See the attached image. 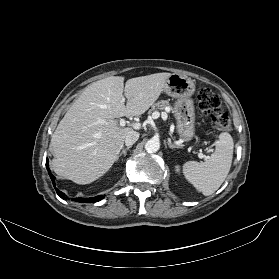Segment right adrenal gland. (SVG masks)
I'll return each instance as SVG.
<instances>
[{
  "label": "right adrenal gland",
  "mask_w": 279,
  "mask_h": 279,
  "mask_svg": "<svg viewBox=\"0 0 279 279\" xmlns=\"http://www.w3.org/2000/svg\"><path fill=\"white\" fill-rule=\"evenodd\" d=\"M130 148H131V146H127V147L123 148V150L119 153V155H118V157H117V160H116V161H118V160H119V158H120L122 155H124V157H125V156H126V154H127V151H128Z\"/></svg>",
  "instance_id": "obj_1"
}]
</instances>
